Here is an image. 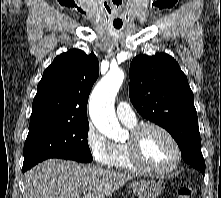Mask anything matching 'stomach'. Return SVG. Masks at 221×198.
Instances as JSON below:
<instances>
[{"instance_id":"1","label":"stomach","mask_w":221,"mask_h":198,"mask_svg":"<svg viewBox=\"0 0 221 198\" xmlns=\"http://www.w3.org/2000/svg\"><path fill=\"white\" fill-rule=\"evenodd\" d=\"M130 188L138 198H157L162 191L160 185L152 180L133 182Z\"/></svg>"}]
</instances>
